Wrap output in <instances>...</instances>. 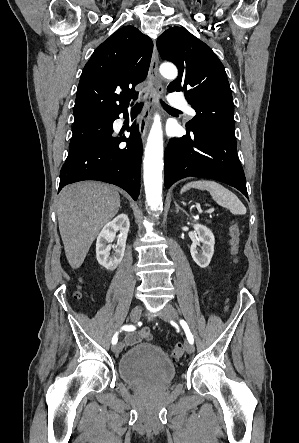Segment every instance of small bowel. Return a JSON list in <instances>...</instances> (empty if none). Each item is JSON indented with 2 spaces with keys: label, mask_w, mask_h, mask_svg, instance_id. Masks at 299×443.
<instances>
[{
  "label": "small bowel",
  "mask_w": 299,
  "mask_h": 443,
  "mask_svg": "<svg viewBox=\"0 0 299 443\" xmlns=\"http://www.w3.org/2000/svg\"><path fill=\"white\" fill-rule=\"evenodd\" d=\"M150 340H152V334L150 332V329L147 327L143 328L142 330L136 333H129L125 337V343L128 346H133L140 342L150 341Z\"/></svg>",
  "instance_id": "c3829d8e"
}]
</instances>
